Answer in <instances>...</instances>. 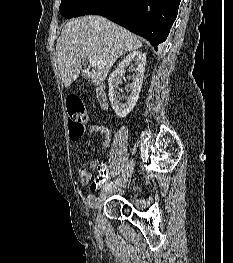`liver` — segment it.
Here are the masks:
<instances>
[{
  "instance_id": "liver-1",
  "label": "liver",
  "mask_w": 233,
  "mask_h": 263,
  "mask_svg": "<svg viewBox=\"0 0 233 263\" xmlns=\"http://www.w3.org/2000/svg\"><path fill=\"white\" fill-rule=\"evenodd\" d=\"M141 47L136 35L104 17L75 18L65 25L56 43L60 79L69 87L78 78L84 60L93 57L101 66H97L98 71L92 70L89 78L99 85L120 56Z\"/></svg>"
}]
</instances>
